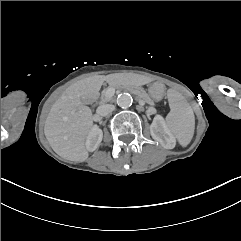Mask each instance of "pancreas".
Segmentation results:
<instances>
[{
  "label": "pancreas",
  "instance_id": "obj_1",
  "mask_svg": "<svg viewBox=\"0 0 241 241\" xmlns=\"http://www.w3.org/2000/svg\"><path fill=\"white\" fill-rule=\"evenodd\" d=\"M134 94H136V96H140L142 97L146 102H148V104H150V108L152 109L154 106L153 104V99L151 98V96L148 95V93L142 91L141 89H134ZM113 101V97H110L109 95H107V90H104L102 95H101V102L102 103H107V102H111Z\"/></svg>",
  "mask_w": 241,
  "mask_h": 241
}]
</instances>
